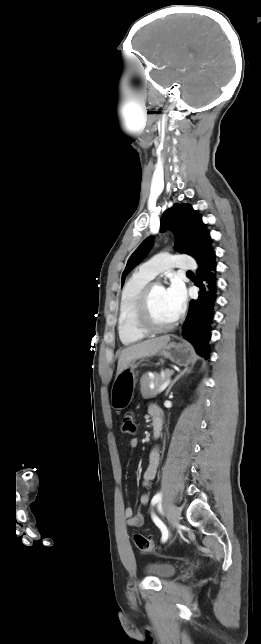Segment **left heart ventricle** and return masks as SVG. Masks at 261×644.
<instances>
[{
  "label": "left heart ventricle",
  "instance_id": "1",
  "mask_svg": "<svg viewBox=\"0 0 261 644\" xmlns=\"http://www.w3.org/2000/svg\"><path fill=\"white\" fill-rule=\"evenodd\" d=\"M150 316L152 321L159 326L171 323L175 316L166 299L164 288L156 285L150 297Z\"/></svg>",
  "mask_w": 261,
  "mask_h": 644
}]
</instances>
